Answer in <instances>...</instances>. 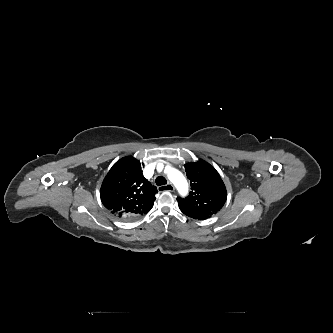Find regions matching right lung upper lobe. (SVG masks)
Instances as JSON below:
<instances>
[{
	"mask_svg": "<svg viewBox=\"0 0 333 333\" xmlns=\"http://www.w3.org/2000/svg\"><path fill=\"white\" fill-rule=\"evenodd\" d=\"M157 192L156 187L144 178L140 161L126 156L117 161L104 178L100 197L103 205L121 218L148 213Z\"/></svg>",
	"mask_w": 333,
	"mask_h": 333,
	"instance_id": "1",
	"label": "right lung upper lobe"
}]
</instances>
